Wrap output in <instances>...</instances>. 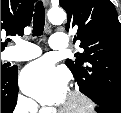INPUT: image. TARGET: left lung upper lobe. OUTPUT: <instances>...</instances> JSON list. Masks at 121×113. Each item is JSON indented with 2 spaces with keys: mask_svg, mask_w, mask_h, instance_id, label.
I'll list each match as a JSON object with an SVG mask.
<instances>
[{
  "mask_svg": "<svg viewBox=\"0 0 121 113\" xmlns=\"http://www.w3.org/2000/svg\"><path fill=\"white\" fill-rule=\"evenodd\" d=\"M83 53L67 59L80 91L121 105V26L110 0H59Z\"/></svg>",
  "mask_w": 121,
  "mask_h": 113,
  "instance_id": "obj_1",
  "label": "left lung upper lobe"
}]
</instances>
